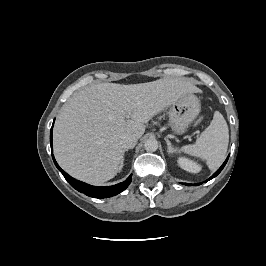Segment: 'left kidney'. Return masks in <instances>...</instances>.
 I'll list each match as a JSON object with an SVG mask.
<instances>
[{"label":"left kidney","mask_w":266,"mask_h":266,"mask_svg":"<svg viewBox=\"0 0 266 266\" xmlns=\"http://www.w3.org/2000/svg\"><path fill=\"white\" fill-rule=\"evenodd\" d=\"M179 166L187 172L198 173L201 171V166L196 162L185 157H180L177 160Z\"/></svg>","instance_id":"left-kidney-1"}]
</instances>
